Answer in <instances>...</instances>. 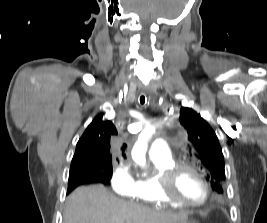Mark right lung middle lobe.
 Returning <instances> with one entry per match:
<instances>
[{
  "instance_id": "1",
  "label": "right lung middle lobe",
  "mask_w": 267,
  "mask_h": 223,
  "mask_svg": "<svg viewBox=\"0 0 267 223\" xmlns=\"http://www.w3.org/2000/svg\"><path fill=\"white\" fill-rule=\"evenodd\" d=\"M83 166L82 165H78V166H76V167H74V170H79L80 168H82ZM76 173H79L78 171L76 172V171H73L72 172V169L70 168V175H73V174H76ZM69 175V176H70ZM107 177H109V178H111V176H112V169L110 170V172L109 173H106L105 174Z\"/></svg>"
}]
</instances>
